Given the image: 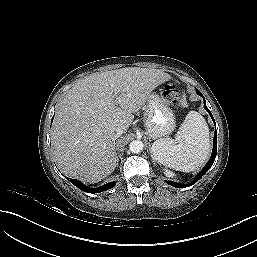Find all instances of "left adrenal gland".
Here are the masks:
<instances>
[{
  "mask_svg": "<svg viewBox=\"0 0 257 257\" xmlns=\"http://www.w3.org/2000/svg\"><path fill=\"white\" fill-rule=\"evenodd\" d=\"M150 153H151V158L153 159V162H156V161H155V158H154V156H153V154H152V152H151V150H150Z\"/></svg>",
  "mask_w": 257,
  "mask_h": 257,
  "instance_id": "left-adrenal-gland-1",
  "label": "left adrenal gland"
}]
</instances>
